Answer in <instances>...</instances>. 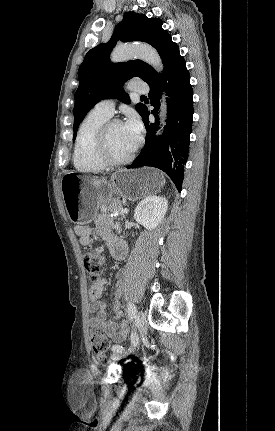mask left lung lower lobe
<instances>
[{
	"label": "left lung lower lobe",
	"mask_w": 275,
	"mask_h": 431,
	"mask_svg": "<svg viewBox=\"0 0 275 431\" xmlns=\"http://www.w3.org/2000/svg\"><path fill=\"white\" fill-rule=\"evenodd\" d=\"M149 98L154 109L155 123H150V112L145 107L141 115L147 130L145 146L135 161L127 168L142 166L156 167L166 172L181 191L185 164L188 158L190 133L193 123V90L186 62L176 45L169 53L164 65V74L155 76L149 82ZM165 90L168 103V118L163 136L155 138L158 127V110L161 92Z\"/></svg>",
	"instance_id": "left-lung-lower-lobe-1"
}]
</instances>
